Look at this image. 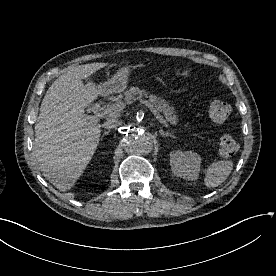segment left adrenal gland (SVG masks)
<instances>
[{
	"label": "left adrenal gland",
	"mask_w": 276,
	"mask_h": 276,
	"mask_svg": "<svg viewBox=\"0 0 276 276\" xmlns=\"http://www.w3.org/2000/svg\"><path fill=\"white\" fill-rule=\"evenodd\" d=\"M159 133L161 134L162 137H171V138H175V136L173 134H171L170 132H165L163 130H159Z\"/></svg>",
	"instance_id": "a2214340"
}]
</instances>
